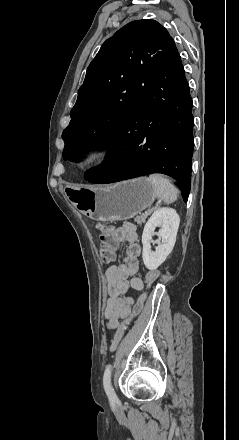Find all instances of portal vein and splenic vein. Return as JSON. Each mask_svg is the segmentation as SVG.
Returning a JSON list of instances; mask_svg holds the SVG:
<instances>
[{
	"label": "portal vein and splenic vein",
	"instance_id": "portal-vein-and-splenic-vein-1",
	"mask_svg": "<svg viewBox=\"0 0 239 440\" xmlns=\"http://www.w3.org/2000/svg\"><path fill=\"white\" fill-rule=\"evenodd\" d=\"M158 201H159V202H158ZM158 201L155 203V206L160 207V205L162 204V203H161L162 200L159 199ZM155 206L153 207L154 209L156 208Z\"/></svg>",
	"mask_w": 239,
	"mask_h": 440
}]
</instances>
